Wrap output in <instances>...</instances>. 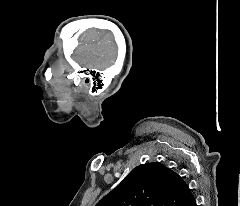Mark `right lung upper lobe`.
Returning <instances> with one entry per match:
<instances>
[{
    "label": "right lung upper lobe",
    "mask_w": 240,
    "mask_h": 206,
    "mask_svg": "<svg viewBox=\"0 0 240 206\" xmlns=\"http://www.w3.org/2000/svg\"><path fill=\"white\" fill-rule=\"evenodd\" d=\"M193 198L177 173L152 162L134 168L96 206H184Z\"/></svg>",
    "instance_id": "right-lung-upper-lobe-1"
}]
</instances>
